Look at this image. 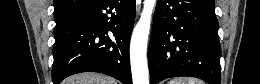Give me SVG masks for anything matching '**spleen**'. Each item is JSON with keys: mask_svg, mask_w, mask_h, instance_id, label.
Listing matches in <instances>:
<instances>
[{"mask_svg": "<svg viewBox=\"0 0 260 84\" xmlns=\"http://www.w3.org/2000/svg\"><path fill=\"white\" fill-rule=\"evenodd\" d=\"M168 84H204V82L197 78H174L168 82Z\"/></svg>", "mask_w": 260, "mask_h": 84, "instance_id": "obj_1", "label": "spleen"}]
</instances>
